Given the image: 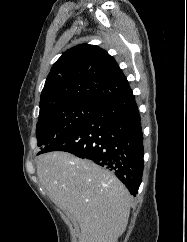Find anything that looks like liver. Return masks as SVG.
<instances>
[{"instance_id":"6515ba94","label":"liver","mask_w":187,"mask_h":242,"mask_svg":"<svg viewBox=\"0 0 187 242\" xmlns=\"http://www.w3.org/2000/svg\"><path fill=\"white\" fill-rule=\"evenodd\" d=\"M37 175L53 202L78 222L79 242H116L125 231L131 197L108 170L53 152L38 157Z\"/></svg>"}]
</instances>
